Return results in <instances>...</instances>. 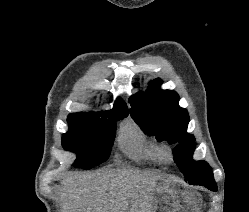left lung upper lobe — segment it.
Wrapping results in <instances>:
<instances>
[{"label": "left lung upper lobe", "mask_w": 249, "mask_h": 212, "mask_svg": "<svg viewBox=\"0 0 249 212\" xmlns=\"http://www.w3.org/2000/svg\"><path fill=\"white\" fill-rule=\"evenodd\" d=\"M160 79L153 80L145 93L130 97V113L134 121L149 136L158 141L177 144L174 161L189 184L201 185L213 182L211 167L205 161H194L193 135L186 133L189 116L186 109L178 106L179 96L171 90H161Z\"/></svg>", "instance_id": "1"}]
</instances>
